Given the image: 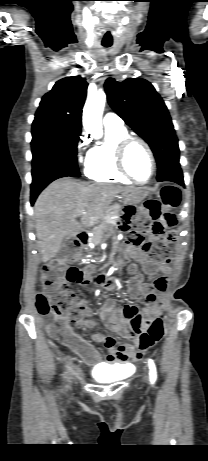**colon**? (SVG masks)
<instances>
[{
    "label": "colon",
    "instance_id": "1",
    "mask_svg": "<svg viewBox=\"0 0 208 461\" xmlns=\"http://www.w3.org/2000/svg\"><path fill=\"white\" fill-rule=\"evenodd\" d=\"M181 193L177 187L164 186L159 199H148L140 208L139 217H134L135 230L129 232L126 242L147 253L153 264L163 265L169 261L167 249L163 247V234L177 223L172 210L178 208ZM152 236L150 240L147 236ZM69 254L55 259L42 268L41 283L43 292L36 295V308L44 318L48 333L67 345L79 343V338L71 331L64 318L76 320L87 311L85 302L76 297L69 287L76 283L86 286L95 274L92 268L68 266ZM149 274H152L150 272ZM135 312L125 307V315L131 317ZM144 329L138 340H131L130 346L146 351L158 343L165 332L162 318H145Z\"/></svg>",
    "mask_w": 208,
    "mask_h": 461
}]
</instances>
